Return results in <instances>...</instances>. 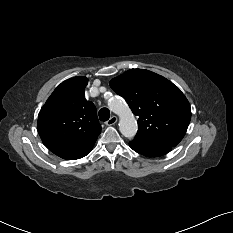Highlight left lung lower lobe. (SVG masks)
<instances>
[{
    "mask_svg": "<svg viewBox=\"0 0 233 233\" xmlns=\"http://www.w3.org/2000/svg\"><path fill=\"white\" fill-rule=\"evenodd\" d=\"M129 144L134 151L148 157L162 156L171 151L172 148L165 145L141 142L136 140H132Z\"/></svg>",
    "mask_w": 233,
    "mask_h": 233,
    "instance_id": "1",
    "label": "left lung lower lobe"
}]
</instances>
